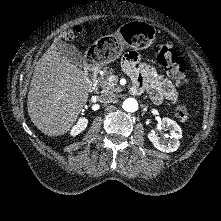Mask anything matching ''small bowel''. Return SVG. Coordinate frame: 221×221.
I'll return each mask as SVG.
<instances>
[{"instance_id": "small-bowel-1", "label": "small bowel", "mask_w": 221, "mask_h": 221, "mask_svg": "<svg viewBox=\"0 0 221 221\" xmlns=\"http://www.w3.org/2000/svg\"><path fill=\"white\" fill-rule=\"evenodd\" d=\"M123 68L133 79L134 89L138 92L146 90L156 104L163 100L171 103L178 101L176 84L160 75L152 66L140 61L136 52H129L123 57Z\"/></svg>"}]
</instances>
